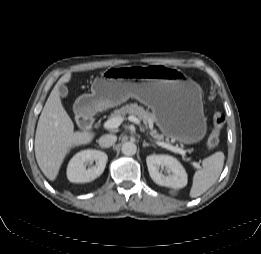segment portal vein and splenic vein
Wrapping results in <instances>:
<instances>
[{
	"mask_svg": "<svg viewBox=\"0 0 261 254\" xmlns=\"http://www.w3.org/2000/svg\"><path fill=\"white\" fill-rule=\"evenodd\" d=\"M128 120L135 123L136 125H138L140 127V130L145 132L144 127L141 125V122L137 117L132 115V116L128 117ZM122 122H123L122 117H113V118H110L107 121H105L104 124H103V127L105 129L118 128L121 125ZM146 135H147V133H146ZM156 144L159 145V146H162L163 148L171 150L173 152L179 153L182 156L186 155V152L183 149H181L177 146H173L171 144H167L165 142H160V141H157ZM193 166H195L196 168H200V165L198 163H195V162H193Z\"/></svg>",
	"mask_w": 261,
	"mask_h": 254,
	"instance_id": "portal-vein-and-splenic-vein-1",
	"label": "portal vein and splenic vein"
}]
</instances>
